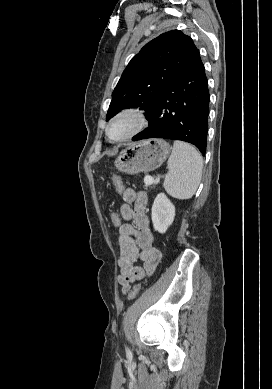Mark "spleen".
I'll return each mask as SVG.
<instances>
[{"label": "spleen", "instance_id": "obj_1", "mask_svg": "<svg viewBox=\"0 0 272 389\" xmlns=\"http://www.w3.org/2000/svg\"><path fill=\"white\" fill-rule=\"evenodd\" d=\"M203 160L200 153L190 144L174 141L169 172L164 180L165 190L178 199L191 198L200 183Z\"/></svg>", "mask_w": 272, "mask_h": 389}]
</instances>
